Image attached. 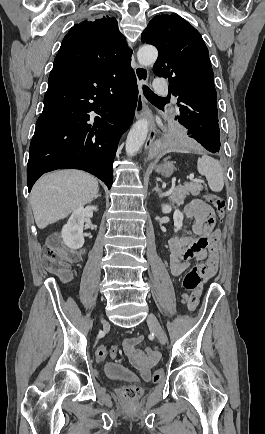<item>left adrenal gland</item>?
<instances>
[{
    "label": "left adrenal gland",
    "mask_w": 265,
    "mask_h": 434,
    "mask_svg": "<svg viewBox=\"0 0 265 434\" xmlns=\"http://www.w3.org/2000/svg\"><path fill=\"white\" fill-rule=\"evenodd\" d=\"M153 192H158L159 198H163V192H162L161 188H159L158 182H156V186H155V188H153Z\"/></svg>",
    "instance_id": "1"
}]
</instances>
